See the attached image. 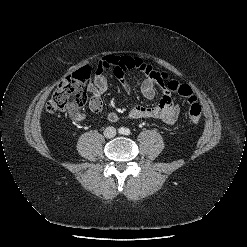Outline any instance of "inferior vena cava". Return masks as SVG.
I'll return each instance as SVG.
<instances>
[{"label":"inferior vena cava","instance_id":"obj_1","mask_svg":"<svg viewBox=\"0 0 247 247\" xmlns=\"http://www.w3.org/2000/svg\"><path fill=\"white\" fill-rule=\"evenodd\" d=\"M115 135H116V129L112 126H109L104 130V136L106 138H113L115 137Z\"/></svg>","mask_w":247,"mask_h":247}]
</instances>
